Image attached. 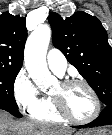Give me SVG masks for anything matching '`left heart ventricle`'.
I'll use <instances>...</instances> for the list:
<instances>
[{
	"mask_svg": "<svg viewBox=\"0 0 112 135\" xmlns=\"http://www.w3.org/2000/svg\"><path fill=\"white\" fill-rule=\"evenodd\" d=\"M61 99L66 110L76 118H87L93 112V100L82 85L63 87L58 83L50 93Z\"/></svg>",
	"mask_w": 112,
	"mask_h": 135,
	"instance_id": "1",
	"label": "left heart ventricle"
}]
</instances>
